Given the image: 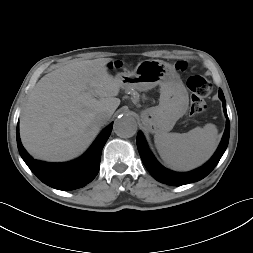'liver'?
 Listing matches in <instances>:
<instances>
[{"instance_id":"liver-1","label":"liver","mask_w":253,"mask_h":253,"mask_svg":"<svg viewBox=\"0 0 253 253\" xmlns=\"http://www.w3.org/2000/svg\"><path fill=\"white\" fill-rule=\"evenodd\" d=\"M111 61L71 62L38 81L20 117L21 140L32 156L60 162L88 148L101 128L96 115L110 118L120 104V83L107 71Z\"/></svg>"}]
</instances>
